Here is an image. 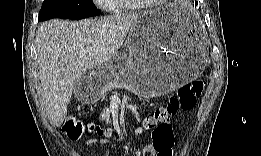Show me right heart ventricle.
<instances>
[{"mask_svg":"<svg viewBox=\"0 0 261 156\" xmlns=\"http://www.w3.org/2000/svg\"><path fill=\"white\" fill-rule=\"evenodd\" d=\"M113 5L115 8L123 7V1H113Z\"/></svg>","mask_w":261,"mask_h":156,"instance_id":"1","label":"right heart ventricle"}]
</instances>
